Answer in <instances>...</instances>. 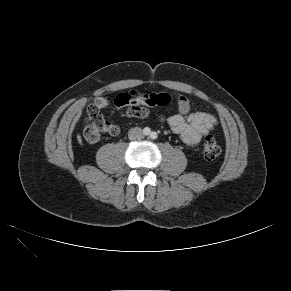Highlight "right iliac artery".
Wrapping results in <instances>:
<instances>
[{"instance_id": "right-iliac-artery-1", "label": "right iliac artery", "mask_w": 291, "mask_h": 291, "mask_svg": "<svg viewBox=\"0 0 291 291\" xmlns=\"http://www.w3.org/2000/svg\"><path fill=\"white\" fill-rule=\"evenodd\" d=\"M150 132H151V130H150V128H148V127H146V128L143 129V133H144L145 135H149Z\"/></svg>"}]
</instances>
